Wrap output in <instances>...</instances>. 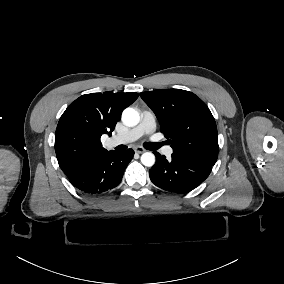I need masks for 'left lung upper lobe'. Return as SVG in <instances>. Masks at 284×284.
Masks as SVG:
<instances>
[{
	"label": "left lung upper lobe",
	"mask_w": 284,
	"mask_h": 284,
	"mask_svg": "<svg viewBox=\"0 0 284 284\" xmlns=\"http://www.w3.org/2000/svg\"><path fill=\"white\" fill-rule=\"evenodd\" d=\"M153 110L168 138L173 154L213 166L218 157V133L207 105L195 94L181 89L140 93Z\"/></svg>",
	"instance_id": "obj_1"
}]
</instances>
